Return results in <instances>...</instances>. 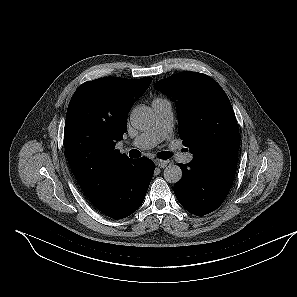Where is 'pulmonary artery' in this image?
<instances>
[{
  "label": "pulmonary artery",
  "mask_w": 297,
  "mask_h": 297,
  "mask_svg": "<svg viewBox=\"0 0 297 297\" xmlns=\"http://www.w3.org/2000/svg\"><path fill=\"white\" fill-rule=\"evenodd\" d=\"M154 123L146 131L140 133L131 144L139 149H148L169 138L174 124L173 106L170 100L157 98L151 103ZM176 158L188 163L192 161V153H177Z\"/></svg>",
  "instance_id": "1"
}]
</instances>
